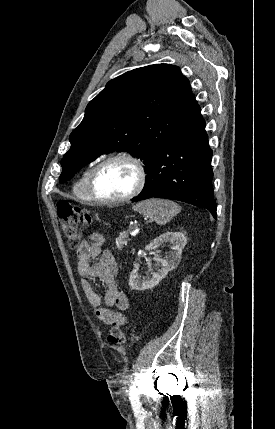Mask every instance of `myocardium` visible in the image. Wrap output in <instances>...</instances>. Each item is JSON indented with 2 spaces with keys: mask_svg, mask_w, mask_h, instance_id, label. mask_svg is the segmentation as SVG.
<instances>
[{
  "mask_svg": "<svg viewBox=\"0 0 275 429\" xmlns=\"http://www.w3.org/2000/svg\"><path fill=\"white\" fill-rule=\"evenodd\" d=\"M119 160L130 163L136 171L137 177H136V182L133 189L126 195L118 198H114V199H103L98 197L95 193L94 185H95V179L99 171L107 164L114 161H119ZM145 182H146V171L142 161L129 153H117L104 158L93 167L87 181V192L90 197V200L97 204L115 205V204L127 202L133 199L134 197H136L142 191L145 185Z\"/></svg>",
  "mask_w": 275,
  "mask_h": 429,
  "instance_id": "obj_1",
  "label": "myocardium"
}]
</instances>
